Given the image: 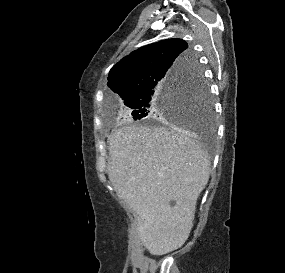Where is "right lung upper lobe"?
Instances as JSON below:
<instances>
[{
    "mask_svg": "<svg viewBox=\"0 0 285 273\" xmlns=\"http://www.w3.org/2000/svg\"><path fill=\"white\" fill-rule=\"evenodd\" d=\"M197 66L187 43L166 39L141 47L112 67L108 87L124 103Z\"/></svg>",
    "mask_w": 285,
    "mask_h": 273,
    "instance_id": "right-lung-upper-lobe-1",
    "label": "right lung upper lobe"
}]
</instances>
